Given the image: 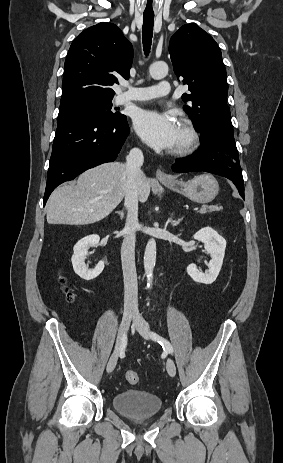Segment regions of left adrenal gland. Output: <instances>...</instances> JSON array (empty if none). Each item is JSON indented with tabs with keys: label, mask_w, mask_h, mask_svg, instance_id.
Segmentation results:
<instances>
[{
	"label": "left adrenal gland",
	"mask_w": 283,
	"mask_h": 463,
	"mask_svg": "<svg viewBox=\"0 0 283 463\" xmlns=\"http://www.w3.org/2000/svg\"><path fill=\"white\" fill-rule=\"evenodd\" d=\"M182 220H183V217L178 220H173V214L171 215V218H170V222L172 226H177L178 224H180V222H182Z\"/></svg>",
	"instance_id": "obj_1"
}]
</instances>
